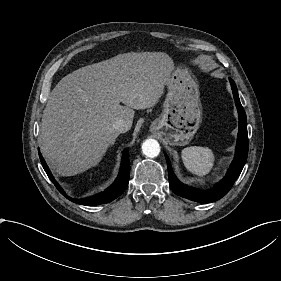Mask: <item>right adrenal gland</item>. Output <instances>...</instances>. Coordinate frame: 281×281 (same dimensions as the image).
I'll list each match as a JSON object with an SVG mask.
<instances>
[{"instance_id":"1","label":"right adrenal gland","mask_w":281,"mask_h":281,"mask_svg":"<svg viewBox=\"0 0 281 281\" xmlns=\"http://www.w3.org/2000/svg\"><path fill=\"white\" fill-rule=\"evenodd\" d=\"M114 143H115V141H113L111 145H113Z\"/></svg>"}]
</instances>
